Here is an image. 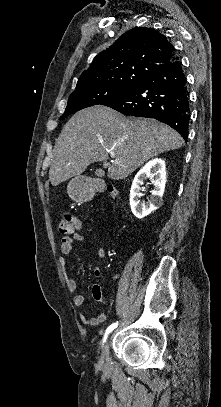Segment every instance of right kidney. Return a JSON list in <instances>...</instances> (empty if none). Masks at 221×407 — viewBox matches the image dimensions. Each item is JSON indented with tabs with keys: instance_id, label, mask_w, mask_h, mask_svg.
I'll return each instance as SVG.
<instances>
[{
	"instance_id": "obj_1",
	"label": "right kidney",
	"mask_w": 221,
	"mask_h": 407,
	"mask_svg": "<svg viewBox=\"0 0 221 407\" xmlns=\"http://www.w3.org/2000/svg\"><path fill=\"white\" fill-rule=\"evenodd\" d=\"M147 178L151 179L154 190L151 191V197L145 203L141 202L139 198L141 197V185L143 184V180ZM165 183L166 168L165 162L161 158L150 160L140 169L134 177L130 190V207L134 216L142 219L161 206Z\"/></svg>"
}]
</instances>
